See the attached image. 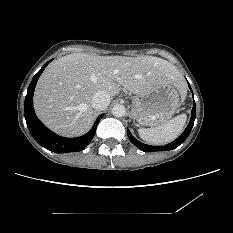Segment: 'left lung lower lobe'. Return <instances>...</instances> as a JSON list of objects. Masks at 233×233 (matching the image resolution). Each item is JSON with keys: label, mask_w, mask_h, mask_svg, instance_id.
<instances>
[{"label": "left lung lower lobe", "mask_w": 233, "mask_h": 233, "mask_svg": "<svg viewBox=\"0 0 233 233\" xmlns=\"http://www.w3.org/2000/svg\"><path fill=\"white\" fill-rule=\"evenodd\" d=\"M189 87H190V85H189ZM195 117H196V106H195V101H194L193 108H192V111H191V119H190V122H189L187 128L175 141H173V142H171V143H169V144H167L165 146H151V145L143 144V143L139 142L136 138H134L132 136L129 129H127V135L129 137L130 141L136 147H138L140 150H142L144 152L172 150V149H175L176 147H178L180 144H182L187 139V137L189 136V134L191 132V129L193 127Z\"/></svg>", "instance_id": "0a47b994"}]
</instances>
